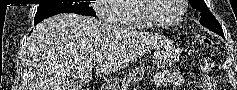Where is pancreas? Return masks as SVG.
<instances>
[{
	"label": "pancreas",
	"instance_id": "1",
	"mask_svg": "<svg viewBox=\"0 0 237 90\" xmlns=\"http://www.w3.org/2000/svg\"><path fill=\"white\" fill-rule=\"evenodd\" d=\"M144 74V68H137V70L129 72V74H127V78H123L122 82H124V84H136V82H141ZM149 74H151V72H149Z\"/></svg>",
	"mask_w": 237,
	"mask_h": 90
}]
</instances>
